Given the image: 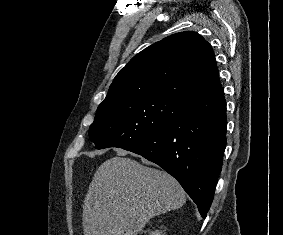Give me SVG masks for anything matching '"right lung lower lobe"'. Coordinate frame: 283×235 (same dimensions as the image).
Returning a JSON list of instances; mask_svg holds the SVG:
<instances>
[{"label": "right lung lower lobe", "instance_id": "obj_1", "mask_svg": "<svg viewBox=\"0 0 283 235\" xmlns=\"http://www.w3.org/2000/svg\"><path fill=\"white\" fill-rule=\"evenodd\" d=\"M226 128V101L220 86L188 99L163 130L123 149L175 177L205 218L222 169Z\"/></svg>", "mask_w": 283, "mask_h": 235}]
</instances>
